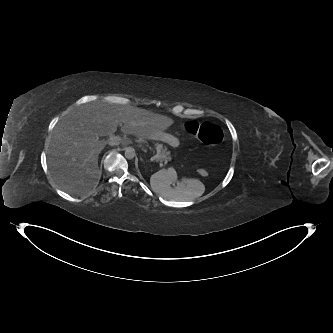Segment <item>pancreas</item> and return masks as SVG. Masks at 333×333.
I'll return each instance as SVG.
<instances>
[{
    "instance_id": "pancreas-1",
    "label": "pancreas",
    "mask_w": 333,
    "mask_h": 333,
    "mask_svg": "<svg viewBox=\"0 0 333 333\" xmlns=\"http://www.w3.org/2000/svg\"><path fill=\"white\" fill-rule=\"evenodd\" d=\"M170 151L162 144H156L155 161L157 162H169L171 161Z\"/></svg>"
}]
</instances>
